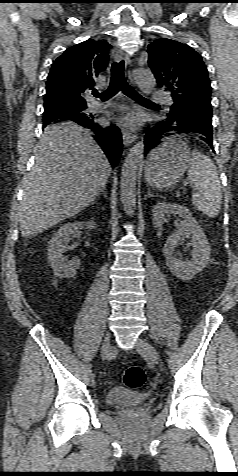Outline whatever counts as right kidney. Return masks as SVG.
<instances>
[{"instance_id": "obj_1", "label": "right kidney", "mask_w": 238, "mask_h": 476, "mask_svg": "<svg viewBox=\"0 0 238 476\" xmlns=\"http://www.w3.org/2000/svg\"><path fill=\"white\" fill-rule=\"evenodd\" d=\"M86 227L89 230L96 228L94 220L87 222L66 223L59 228L49 242L47 255L48 262L53 269L54 275L60 278H72L80 267V259L68 261L63 253L67 243L76 235L79 229Z\"/></svg>"}]
</instances>
